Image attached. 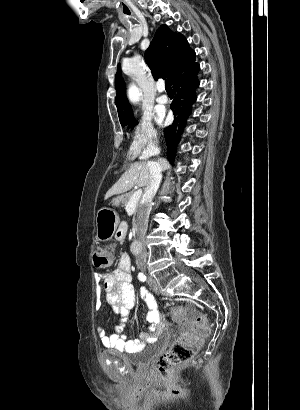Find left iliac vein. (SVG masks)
<instances>
[{
  "mask_svg": "<svg viewBox=\"0 0 300 410\" xmlns=\"http://www.w3.org/2000/svg\"><path fill=\"white\" fill-rule=\"evenodd\" d=\"M148 283L151 286V288L154 290L155 293L159 294L161 292L160 286L154 278L149 276Z\"/></svg>",
  "mask_w": 300,
  "mask_h": 410,
  "instance_id": "left-iliac-vein-1",
  "label": "left iliac vein"
}]
</instances>
